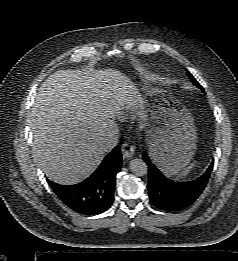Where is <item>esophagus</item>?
Masks as SVG:
<instances>
[{
  "mask_svg": "<svg viewBox=\"0 0 238 261\" xmlns=\"http://www.w3.org/2000/svg\"><path fill=\"white\" fill-rule=\"evenodd\" d=\"M134 151H135V148L128 144V143H124L122 146H121V152H122V155H123V158L124 159H129L133 156L134 154Z\"/></svg>",
  "mask_w": 238,
  "mask_h": 261,
  "instance_id": "esophagus-1",
  "label": "esophagus"
}]
</instances>
